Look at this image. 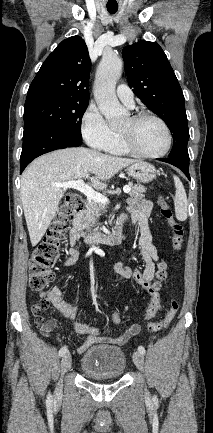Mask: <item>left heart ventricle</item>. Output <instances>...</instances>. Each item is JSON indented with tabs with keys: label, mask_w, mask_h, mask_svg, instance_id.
Masks as SVG:
<instances>
[{
	"label": "left heart ventricle",
	"mask_w": 213,
	"mask_h": 433,
	"mask_svg": "<svg viewBox=\"0 0 213 433\" xmlns=\"http://www.w3.org/2000/svg\"><path fill=\"white\" fill-rule=\"evenodd\" d=\"M121 132L129 135L135 146L145 153H159L166 147L167 137L162 126L151 119L139 122L126 120L120 128Z\"/></svg>",
	"instance_id": "b2bd125f"
}]
</instances>
